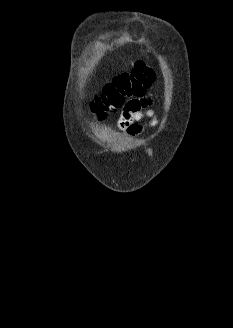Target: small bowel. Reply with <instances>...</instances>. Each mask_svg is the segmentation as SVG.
<instances>
[{"mask_svg":"<svg viewBox=\"0 0 233 328\" xmlns=\"http://www.w3.org/2000/svg\"><path fill=\"white\" fill-rule=\"evenodd\" d=\"M153 100L149 97H139L128 101L117 121L116 128L129 136H136L142 133L143 126L140 121L148 118L151 125H157L158 120L152 110Z\"/></svg>","mask_w":233,"mask_h":328,"instance_id":"obj_1","label":"small bowel"}]
</instances>
